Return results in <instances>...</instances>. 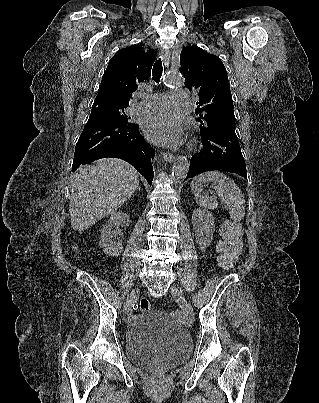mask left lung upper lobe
<instances>
[{
	"label": "left lung upper lobe",
	"mask_w": 319,
	"mask_h": 403,
	"mask_svg": "<svg viewBox=\"0 0 319 403\" xmlns=\"http://www.w3.org/2000/svg\"><path fill=\"white\" fill-rule=\"evenodd\" d=\"M180 64L185 86L199 96L195 113L201 133L221 124L235 123L230 84L220 58L193 46L181 51Z\"/></svg>",
	"instance_id": "left-lung-upper-lobe-1"
}]
</instances>
